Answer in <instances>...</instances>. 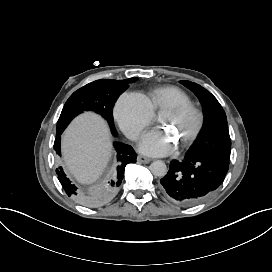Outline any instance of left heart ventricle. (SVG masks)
Here are the masks:
<instances>
[{
	"mask_svg": "<svg viewBox=\"0 0 272 272\" xmlns=\"http://www.w3.org/2000/svg\"><path fill=\"white\" fill-rule=\"evenodd\" d=\"M162 122L174 126L176 131L183 136L185 133L186 117L175 112L165 111Z\"/></svg>",
	"mask_w": 272,
	"mask_h": 272,
	"instance_id": "obj_1",
	"label": "left heart ventricle"
}]
</instances>
